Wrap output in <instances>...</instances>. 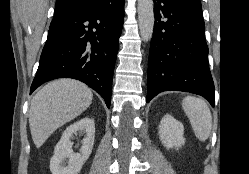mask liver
I'll return each instance as SVG.
<instances>
[{
    "label": "liver",
    "mask_w": 249,
    "mask_h": 174,
    "mask_svg": "<svg viewBox=\"0 0 249 174\" xmlns=\"http://www.w3.org/2000/svg\"><path fill=\"white\" fill-rule=\"evenodd\" d=\"M92 99L91 89L74 79H58L46 84L34 95L29 110L35 146L40 148L55 130L83 113Z\"/></svg>",
    "instance_id": "liver-1"
}]
</instances>
